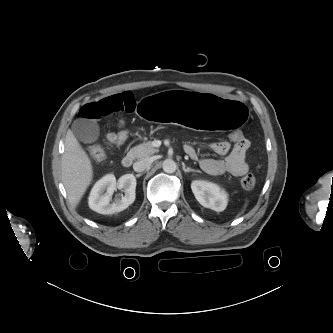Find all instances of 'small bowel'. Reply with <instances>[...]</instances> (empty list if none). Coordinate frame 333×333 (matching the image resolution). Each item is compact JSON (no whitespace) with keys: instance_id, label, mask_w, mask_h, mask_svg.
Listing matches in <instances>:
<instances>
[{"instance_id":"c3829d8e","label":"small bowel","mask_w":333,"mask_h":333,"mask_svg":"<svg viewBox=\"0 0 333 333\" xmlns=\"http://www.w3.org/2000/svg\"><path fill=\"white\" fill-rule=\"evenodd\" d=\"M135 109L136 100L133 94L123 92L84 104L79 110V115L83 121H93L113 112H134ZM107 140L109 144H115V134H108ZM249 147L250 142L246 138L232 146L226 142L212 143L211 149L225 157L223 159L201 158L199 164L210 175L230 173L237 177L243 176L248 171L246 154ZM184 151L190 158L198 159L197 152L192 145H186Z\"/></svg>"}]
</instances>
